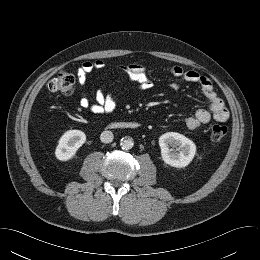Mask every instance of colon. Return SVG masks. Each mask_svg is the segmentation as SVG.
I'll list each match as a JSON object with an SVG mask.
<instances>
[{"mask_svg":"<svg viewBox=\"0 0 260 260\" xmlns=\"http://www.w3.org/2000/svg\"><path fill=\"white\" fill-rule=\"evenodd\" d=\"M75 78L68 71H59L48 83V91L52 93L71 94L74 91ZM227 134V127L223 124H214L210 129L213 141L222 140Z\"/></svg>","mask_w":260,"mask_h":260,"instance_id":"colon-1","label":"colon"}]
</instances>
